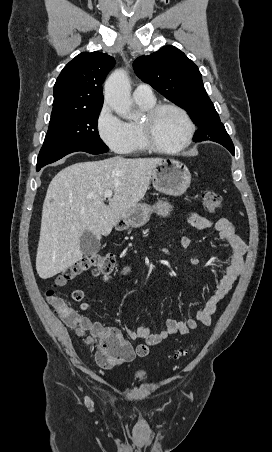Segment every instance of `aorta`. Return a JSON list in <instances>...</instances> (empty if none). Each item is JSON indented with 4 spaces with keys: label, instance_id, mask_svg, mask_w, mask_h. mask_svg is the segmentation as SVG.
Masks as SVG:
<instances>
[{
    "label": "aorta",
    "instance_id": "aorta-1",
    "mask_svg": "<svg viewBox=\"0 0 272 452\" xmlns=\"http://www.w3.org/2000/svg\"><path fill=\"white\" fill-rule=\"evenodd\" d=\"M104 100L108 106L120 117L132 119V99L130 96V82L124 70H116L105 82Z\"/></svg>",
    "mask_w": 272,
    "mask_h": 452
}]
</instances>
